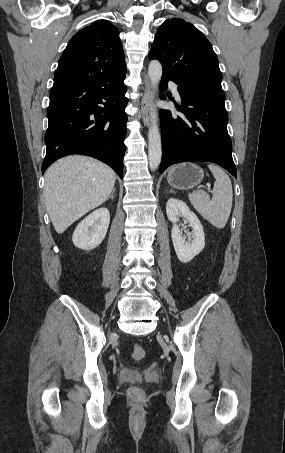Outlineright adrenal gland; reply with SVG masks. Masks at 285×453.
Segmentation results:
<instances>
[{
    "label": "right adrenal gland",
    "instance_id": "2a0ac1e0",
    "mask_svg": "<svg viewBox=\"0 0 285 453\" xmlns=\"http://www.w3.org/2000/svg\"><path fill=\"white\" fill-rule=\"evenodd\" d=\"M114 194H115V188L112 190L110 196L107 198V200H109V198L111 199H114Z\"/></svg>",
    "mask_w": 285,
    "mask_h": 453
}]
</instances>
